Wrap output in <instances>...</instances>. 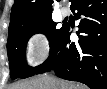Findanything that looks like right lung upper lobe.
<instances>
[{
    "instance_id": "obj_1",
    "label": "right lung upper lobe",
    "mask_w": 107,
    "mask_h": 89,
    "mask_svg": "<svg viewBox=\"0 0 107 89\" xmlns=\"http://www.w3.org/2000/svg\"><path fill=\"white\" fill-rule=\"evenodd\" d=\"M75 0H71L73 3ZM52 0H15L10 15V27L51 17Z\"/></svg>"
}]
</instances>
